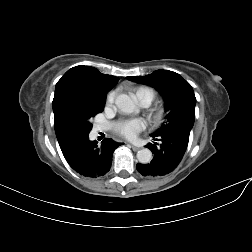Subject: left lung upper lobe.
Segmentation results:
<instances>
[{
	"instance_id": "1",
	"label": "left lung upper lobe",
	"mask_w": 252,
	"mask_h": 252,
	"mask_svg": "<svg viewBox=\"0 0 252 252\" xmlns=\"http://www.w3.org/2000/svg\"><path fill=\"white\" fill-rule=\"evenodd\" d=\"M127 79L154 87L165 100L168 121L151 136H159L174 129H192L196 98L192 86L182 76L169 70H156L146 76H129Z\"/></svg>"
}]
</instances>
